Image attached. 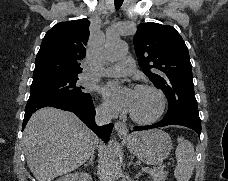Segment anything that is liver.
<instances>
[{
	"label": "liver",
	"mask_w": 228,
	"mask_h": 181,
	"mask_svg": "<svg viewBox=\"0 0 228 181\" xmlns=\"http://www.w3.org/2000/svg\"><path fill=\"white\" fill-rule=\"evenodd\" d=\"M26 163L36 181H53L84 165L99 139L74 115L54 107L33 113L24 129Z\"/></svg>",
	"instance_id": "1"
}]
</instances>
